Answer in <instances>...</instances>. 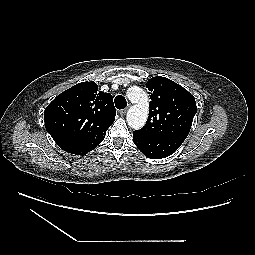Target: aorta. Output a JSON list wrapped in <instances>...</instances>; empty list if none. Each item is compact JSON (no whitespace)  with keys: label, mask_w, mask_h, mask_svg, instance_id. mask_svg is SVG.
<instances>
[{"label":"aorta","mask_w":255,"mask_h":255,"mask_svg":"<svg viewBox=\"0 0 255 255\" xmlns=\"http://www.w3.org/2000/svg\"><path fill=\"white\" fill-rule=\"evenodd\" d=\"M127 97L134 103L127 112V123L134 130L141 129L147 121L149 112L147 94L140 87L133 86L127 90Z\"/></svg>","instance_id":"1"}]
</instances>
